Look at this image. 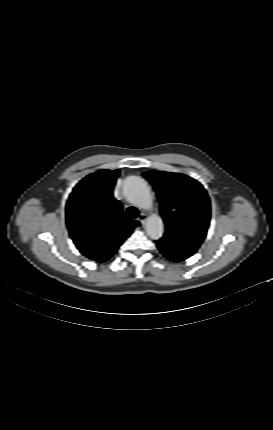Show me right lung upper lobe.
<instances>
[{"instance_id":"cb5924a9","label":"right lung upper lobe","mask_w":273,"mask_h":430,"mask_svg":"<svg viewBox=\"0 0 273 430\" xmlns=\"http://www.w3.org/2000/svg\"><path fill=\"white\" fill-rule=\"evenodd\" d=\"M120 170H99L73 189L66 204L69 234L79 251L105 262L140 223L123 218L122 205L113 197Z\"/></svg>"}]
</instances>
